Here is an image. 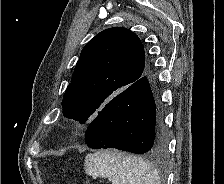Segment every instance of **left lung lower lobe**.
Listing matches in <instances>:
<instances>
[{
	"mask_svg": "<svg viewBox=\"0 0 224 184\" xmlns=\"http://www.w3.org/2000/svg\"><path fill=\"white\" fill-rule=\"evenodd\" d=\"M85 140L92 149L116 148L135 154L164 152L166 134L146 76L100 110L89 125Z\"/></svg>",
	"mask_w": 224,
	"mask_h": 184,
	"instance_id": "1",
	"label": "left lung lower lobe"
}]
</instances>
